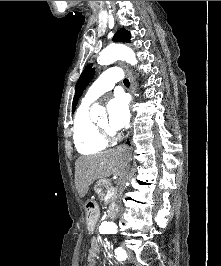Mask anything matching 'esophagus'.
<instances>
[{
	"label": "esophagus",
	"instance_id": "1",
	"mask_svg": "<svg viewBox=\"0 0 221 266\" xmlns=\"http://www.w3.org/2000/svg\"><path fill=\"white\" fill-rule=\"evenodd\" d=\"M128 79H129V82H130V89H129V92L132 96V103L134 102L135 100V96H134V93H135V83H134V77L132 75V73L130 72V70L125 66V65H122Z\"/></svg>",
	"mask_w": 221,
	"mask_h": 266
}]
</instances>
